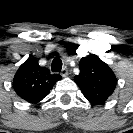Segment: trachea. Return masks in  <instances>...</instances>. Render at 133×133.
Instances as JSON below:
<instances>
[{"instance_id":"trachea-1","label":"trachea","mask_w":133,"mask_h":133,"mask_svg":"<svg viewBox=\"0 0 133 133\" xmlns=\"http://www.w3.org/2000/svg\"><path fill=\"white\" fill-rule=\"evenodd\" d=\"M62 69V61L59 58H54L51 65L52 72H60Z\"/></svg>"}]
</instances>
